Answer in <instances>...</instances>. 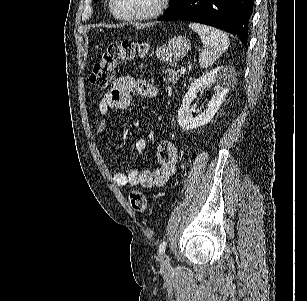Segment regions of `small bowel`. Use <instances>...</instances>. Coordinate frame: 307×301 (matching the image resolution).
<instances>
[{"mask_svg":"<svg viewBox=\"0 0 307 301\" xmlns=\"http://www.w3.org/2000/svg\"><path fill=\"white\" fill-rule=\"evenodd\" d=\"M157 93V88L146 80L131 76L117 78L99 103V112L103 117L96 122L95 137L102 138L106 135L109 123L105 116L113 109L125 110L129 108L132 102V94L153 98ZM146 148L147 143L144 139H138L134 143V149L138 154H143ZM157 156L160 163L158 168L131 170L128 173L117 171L113 174L115 184L120 187L129 185L144 188L164 186L176 170L177 149L172 142L164 141L158 147Z\"/></svg>","mask_w":307,"mask_h":301,"instance_id":"c3829d8e","label":"small bowel"}]
</instances>
